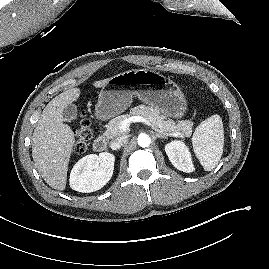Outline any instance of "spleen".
Masks as SVG:
<instances>
[{
    "label": "spleen",
    "mask_w": 269,
    "mask_h": 269,
    "mask_svg": "<svg viewBox=\"0 0 269 269\" xmlns=\"http://www.w3.org/2000/svg\"><path fill=\"white\" fill-rule=\"evenodd\" d=\"M192 145L205 171H211L218 165L224 147L223 122L218 114L200 123L193 134Z\"/></svg>",
    "instance_id": "3e777b00"
}]
</instances>
